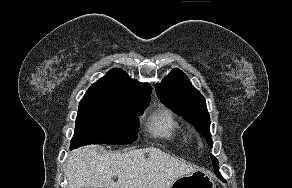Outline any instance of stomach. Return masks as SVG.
Segmentation results:
<instances>
[{"label":"stomach","instance_id":"0dacf381","mask_svg":"<svg viewBox=\"0 0 292 188\" xmlns=\"http://www.w3.org/2000/svg\"><path fill=\"white\" fill-rule=\"evenodd\" d=\"M169 188H215V181L209 172L198 169L181 176Z\"/></svg>","mask_w":292,"mask_h":188}]
</instances>
